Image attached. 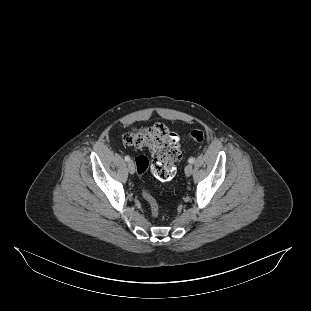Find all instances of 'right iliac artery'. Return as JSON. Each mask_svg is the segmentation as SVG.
I'll use <instances>...</instances> for the list:
<instances>
[{
    "label": "right iliac artery",
    "instance_id": "1",
    "mask_svg": "<svg viewBox=\"0 0 311 311\" xmlns=\"http://www.w3.org/2000/svg\"><path fill=\"white\" fill-rule=\"evenodd\" d=\"M125 161L129 162L130 161V157L129 156H125Z\"/></svg>",
    "mask_w": 311,
    "mask_h": 311
}]
</instances>
